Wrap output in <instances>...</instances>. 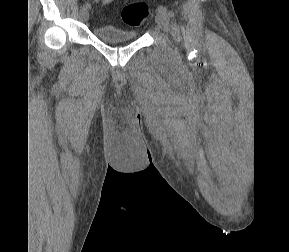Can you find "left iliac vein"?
<instances>
[{"instance_id":"obj_1","label":"left iliac vein","mask_w":289,"mask_h":252,"mask_svg":"<svg viewBox=\"0 0 289 252\" xmlns=\"http://www.w3.org/2000/svg\"><path fill=\"white\" fill-rule=\"evenodd\" d=\"M157 26L163 31H168V18L165 14L158 12L155 16Z\"/></svg>"}]
</instances>
